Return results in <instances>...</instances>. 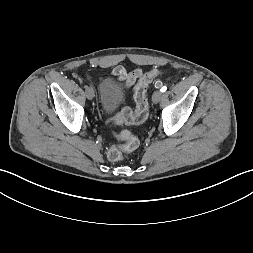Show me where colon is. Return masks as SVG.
Segmentation results:
<instances>
[{
  "label": "colon",
  "mask_w": 253,
  "mask_h": 253,
  "mask_svg": "<svg viewBox=\"0 0 253 253\" xmlns=\"http://www.w3.org/2000/svg\"><path fill=\"white\" fill-rule=\"evenodd\" d=\"M163 71L153 70L141 77L134 88L135 110L132 111L126 107L114 117L115 124L139 125L145 122L148 116L147 89L149 84L157 77L161 76ZM114 136L123 141V145H113L107 151V157L110 161L116 162L123 158V154L134 150L138 146L137 138L128 130L115 133Z\"/></svg>",
  "instance_id": "obj_1"
}]
</instances>
